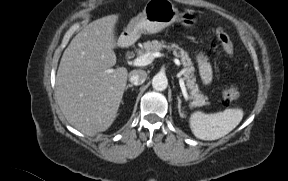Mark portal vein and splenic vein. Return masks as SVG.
Listing matches in <instances>:
<instances>
[{
  "instance_id": "1",
  "label": "portal vein and splenic vein",
  "mask_w": 288,
  "mask_h": 181,
  "mask_svg": "<svg viewBox=\"0 0 288 181\" xmlns=\"http://www.w3.org/2000/svg\"><path fill=\"white\" fill-rule=\"evenodd\" d=\"M161 56H162V54L160 52H154L152 54L146 53V54H143V55L135 58L133 61L130 62V65H133V66H146V65H149L150 63H152L154 58L161 57ZM173 61H174V63L177 66L180 65V61L178 59H174ZM179 84H180V87H181V90H182V94H183L185 100H188L189 96H188V93H187L183 78L179 79Z\"/></svg>"
}]
</instances>
